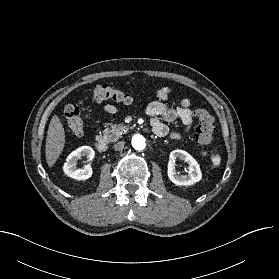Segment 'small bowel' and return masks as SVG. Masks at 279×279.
<instances>
[{
    "mask_svg": "<svg viewBox=\"0 0 279 279\" xmlns=\"http://www.w3.org/2000/svg\"><path fill=\"white\" fill-rule=\"evenodd\" d=\"M170 87L164 86L157 91V99L151 102L146 113L150 118L153 132L159 137L169 136L173 140H179L182 137L180 132H170L168 123L180 121L184 125L185 132H188L193 123V112L190 109L191 100L184 98L178 106H169L167 100L171 95ZM103 112L108 115H114L117 109L113 105H106Z\"/></svg>",
    "mask_w": 279,
    "mask_h": 279,
    "instance_id": "obj_1",
    "label": "small bowel"
}]
</instances>
